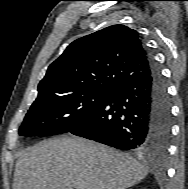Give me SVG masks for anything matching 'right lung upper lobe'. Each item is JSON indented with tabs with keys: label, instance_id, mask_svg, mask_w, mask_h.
I'll list each match as a JSON object with an SVG mask.
<instances>
[{
	"label": "right lung upper lobe",
	"instance_id": "obj_1",
	"mask_svg": "<svg viewBox=\"0 0 188 189\" xmlns=\"http://www.w3.org/2000/svg\"><path fill=\"white\" fill-rule=\"evenodd\" d=\"M149 72L137 31L113 25L73 41L47 70L38 96L91 88L115 89Z\"/></svg>",
	"mask_w": 188,
	"mask_h": 189
}]
</instances>
